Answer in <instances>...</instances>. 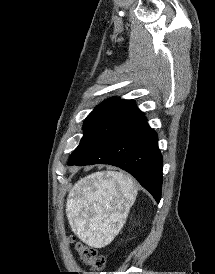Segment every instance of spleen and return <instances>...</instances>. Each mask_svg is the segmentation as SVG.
Listing matches in <instances>:
<instances>
[{
  "label": "spleen",
  "instance_id": "1",
  "mask_svg": "<svg viewBox=\"0 0 215 274\" xmlns=\"http://www.w3.org/2000/svg\"><path fill=\"white\" fill-rule=\"evenodd\" d=\"M136 195L130 176L117 172L95 173L74 185L66 211L84 242L103 245L112 239V223L126 217Z\"/></svg>",
  "mask_w": 215,
  "mask_h": 274
}]
</instances>
